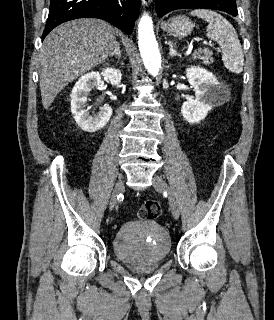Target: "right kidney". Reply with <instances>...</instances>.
Instances as JSON below:
<instances>
[{
	"instance_id": "ca27d5eb",
	"label": "right kidney",
	"mask_w": 274,
	"mask_h": 320,
	"mask_svg": "<svg viewBox=\"0 0 274 320\" xmlns=\"http://www.w3.org/2000/svg\"><path fill=\"white\" fill-rule=\"evenodd\" d=\"M102 76L111 86H119L121 84V70H117V68H105L102 72H89V74L81 76L71 92V112L73 118L79 128L84 130V132H89V134L98 132V130L104 128L108 124L113 112L110 106H103V108H100L99 114L92 118L90 112L86 110L89 92L101 84Z\"/></svg>"
}]
</instances>
